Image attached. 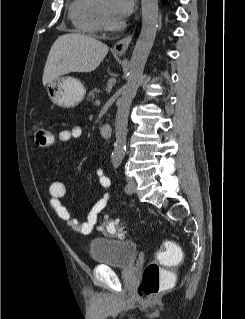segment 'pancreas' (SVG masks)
<instances>
[{"instance_id":"cf45deb5","label":"pancreas","mask_w":245,"mask_h":319,"mask_svg":"<svg viewBox=\"0 0 245 319\" xmlns=\"http://www.w3.org/2000/svg\"><path fill=\"white\" fill-rule=\"evenodd\" d=\"M100 93V89L95 87L94 89H92L87 96L88 100H94Z\"/></svg>"}]
</instances>
